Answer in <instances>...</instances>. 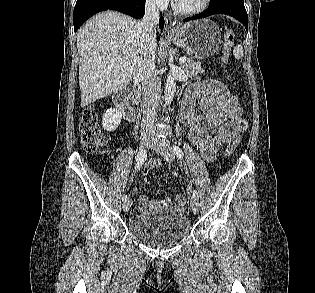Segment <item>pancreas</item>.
Listing matches in <instances>:
<instances>
[{"label": "pancreas", "instance_id": "cf45deb5", "mask_svg": "<svg viewBox=\"0 0 315 293\" xmlns=\"http://www.w3.org/2000/svg\"><path fill=\"white\" fill-rule=\"evenodd\" d=\"M182 69L189 78H194L204 72L200 66V62L193 61L189 58H186V62L182 65Z\"/></svg>", "mask_w": 315, "mask_h": 293}]
</instances>
